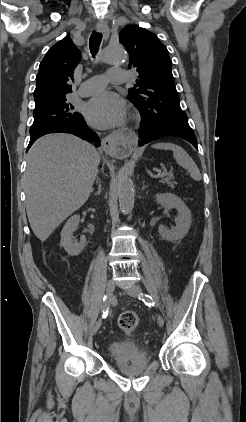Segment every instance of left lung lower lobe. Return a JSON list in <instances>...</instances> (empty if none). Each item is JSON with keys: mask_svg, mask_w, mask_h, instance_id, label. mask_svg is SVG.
<instances>
[{"mask_svg": "<svg viewBox=\"0 0 246 422\" xmlns=\"http://www.w3.org/2000/svg\"><path fill=\"white\" fill-rule=\"evenodd\" d=\"M166 136L180 137L190 142L196 149L197 139L188 121L170 120L155 125H147L143 120L139 129V146Z\"/></svg>", "mask_w": 246, "mask_h": 422, "instance_id": "obj_1", "label": "left lung lower lobe"}]
</instances>
